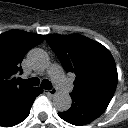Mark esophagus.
Returning <instances> with one entry per match:
<instances>
[{
    "label": "esophagus",
    "instance_id": "1",
    "mask_svg": "<svg viewBox=\"0 0 128 128\" xmlns=\"http://www.w3.org/2000/svg\"><path fill=\"white\" fill-rule=\"evenodd\" d=\"M56 93H57V90L55 88H52L46 91V94H48L49 96H55Z\"/></svg>",
    "mask_w": 128,
    "mask_h": 128
}]
</instances>
